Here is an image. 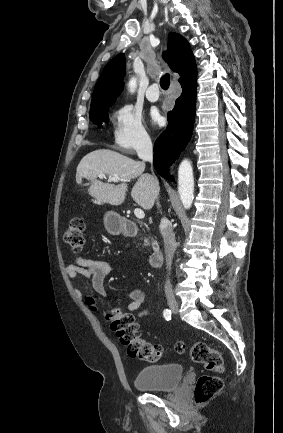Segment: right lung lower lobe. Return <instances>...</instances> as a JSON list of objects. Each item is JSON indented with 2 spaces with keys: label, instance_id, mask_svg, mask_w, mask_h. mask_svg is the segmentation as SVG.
<instances>
[{
  "label": "right lung lower lobe",
  "instance_id": "1",
  "mask_svg": "<svg viewBox=\"0 0 283 433\" xmlns=\"http://www.w3.org/2000/svg\"><path fill=\"white\" fill-rule=\"evenodd\" d=\"M182 94L168 112V126L154 145V167L165 177L164 170L179 156L189 142L194 126L196 108V77L181 83ZM169 180L173 181L170 176Z\"/></svg>",
  "mask_w": 283,
  "mask_h": 433
}]
</instances>
